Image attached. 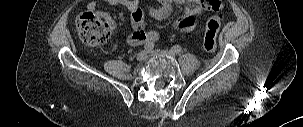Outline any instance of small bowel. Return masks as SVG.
Here are the masks:
<instances>
[{"label":"small bowel","instance_id":"c3829d8e","mask_svg":"<svg viewBox=\"0 0 303 127\" xmlns=\"http://www.w3.org/2000/svg\"><path fill=\"white\" fill-rule=\"evenodd\" d=\"M110 5H122L131 13V25L133 32L128 37L129 45L150 44L155 43L159 39L156 31H144L145 11L139 6V0H104ZM157 7L149 10V16L154 20H163L167 18L171 12L173 3L185 5L184 14L176 21V27L183 32L192 31L197 24L198 17L206 10L218 11L223 5L220 0H156ZM97 2L92 0L88 2L87 9L94 11ZM102 17L108 23L112 30L116 29V23L112 16L108 13H102Z\"/></svg>","mask_w":303,"mask_h":127}]
</instances>
